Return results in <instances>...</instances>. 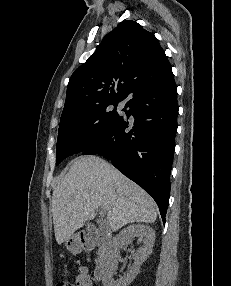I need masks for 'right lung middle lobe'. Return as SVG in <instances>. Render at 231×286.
I'll list each match as a JSON object with an SVG mask.
<instances>
[{"instance_id": "right-lung-middle-lobe-1", "label": "right lung middle lobe", "mask_w": 231, "mask_h": 286, "mask_svg": "<svg viewBox=\"0 0 231 286\" xmlns=\"http://www.w3.org/2000/svg\"><path fill=\"white\" fill-rule=\"evenodd\" d=\"M119 102H104L62 116L56 146V165L99 140L121 117L116 111ZM111 105H114V109Z\"/></svg>"}]
</instances>
